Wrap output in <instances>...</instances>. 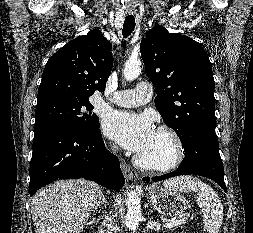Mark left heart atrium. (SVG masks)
Masks as SVG:
<instances>
[{"label": "left heart atrium", "instance_id": "39dd6f15", "mask_svg": "<svg viewBox=\"0 0 253 233\" xmlns=\"http://www.w3.org/2000/svg\"><path fill=\"white\" fill-rule=\"evenodd\" d=\"M102 128L106 136L135 153L145 150L155 134L148 115L126 111L110 112L104 117Z\"/></svg>", "mask_w": 253, "mask_h": 233}]
</instances>
